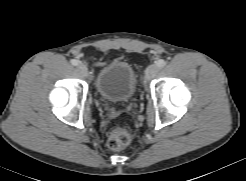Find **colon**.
<instances>
[{"label": "colon", "instance_id": "colon-1", "mask_svg": "<svg viewBox=\"0 0 246 181\" xmlns=\"http://www.w3.org/2000/svg\"><path fill=\"white\" fill-rule=\"evenodd\" d=\"M131 141V133L126 127H119L112 131L107 140V146L113 151L125 148Z\"/></svg>", "mask_w": 246, "mask_h": 181}]
</instances>
